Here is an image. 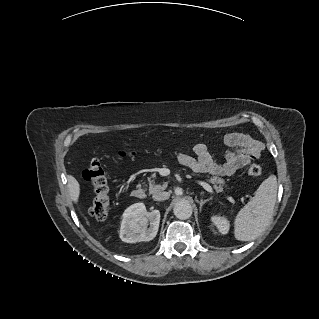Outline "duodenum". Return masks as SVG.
Here are the masks:
<instances>
[{
	"mask_svg": "<svg viewBox=\"0 0 319 319\" xmlns=\"http://www.w3.org/2000/svg\"><path fill=\"white\" fill-rule=\"evenodd\" d=\"M146 196L145 190L143 188H137L132 191V197L135 199H143Z\"/></svg>",
	"mask_w": 319,
	"mask_h": 319,
	"instance_id": "obj_1",
	"label": "duodenum"
}]
</instances>
